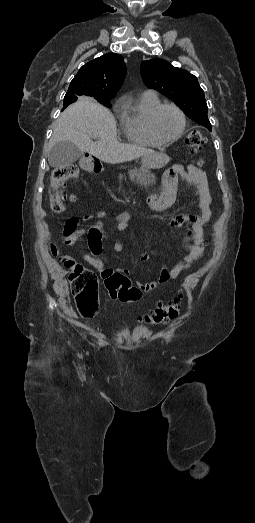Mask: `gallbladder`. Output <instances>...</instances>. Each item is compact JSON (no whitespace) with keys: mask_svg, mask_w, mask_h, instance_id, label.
<instances>
[{"mask_svg":"<svg viewBox=\"0 0 255 523\" xmlns=\"http://www.w3.org/2000/svg\"><path fill=\"white\" fill-rule=\"evenodd\" d=\"M83 152L73 142H56L49 152V164L52 168H66L77 162Z\"/></svg>","mask_w":255,"mask_h":523,"instance_id":"bac80fb5","label":"gallbladder"}]
</instances>
